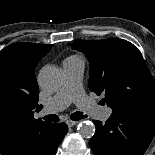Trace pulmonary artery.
Masks as SVG:
<instances>
[{
	"instance_id": "pulmonary-artery-1",
	"label": "pulmonary artery",
	"mask_w": 155,
	"mask_h": 155,
	"mask_svg": "<svg viewBox=\"0 0 155 155\" xmlns=\"http://www.w3.org/2000/svg\"><path fill=\"white\" fill-rule=\"evenodd\" d=\"M84 69L85 62L81 58L68 57L63 60L62 86L46 104L43 114L56 113L65 109L71 103H75L80 110L93 118L105 121L111 116L110 108L97 106L85 95L82 88Z\"/></svg>"
}]
</instances>
